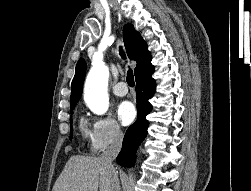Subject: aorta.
<instances>
[{"instance_id": "obj_1", "label": "aorta", "mask_w": 251, "mask_h": 191, "mask_svg": "<svg viewBox=\"0 0 251 191\" xmlns=\"http://www.w3.org/2000/svg\"><path fill=\"white\" fill-rule=\"evenodd\" d=\"M108 78L109 70L102 62L101 54L93 56L92 68L84 86V99L89 109L97 115H103L109 107Z\"/></svg>"}]
</instances>
